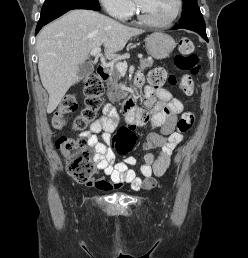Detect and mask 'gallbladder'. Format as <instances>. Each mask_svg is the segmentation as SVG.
Listing matches in <instances>:
<instances>
[{
    "instance_id": "gallbladder-1",
    "label": "gallbladder",
    "mask_w": 248,
    "mask_h": 258,
    "mask_svg": "<svg viewBox=\"0 0 248 258\" xmlns=\"http://www.w3.org/2000/svg\"><path fill=\"white\" fill-rule=\"evenodd\" d=\"M94 70V66L92 63H85L80 66L79 74L84 77L91 74Z\"/></svg>"
}]
</instances>
